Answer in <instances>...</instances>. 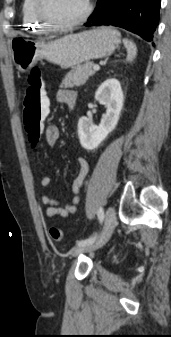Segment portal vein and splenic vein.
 <instances>
[{
    "label": "portal vein and splenic vein",
    "mask_w": 171,
    "mask_h": 337,
    "mask_svg": "<svg viewBox=\"0 0 171 337\" xmlns=\"http://www.w3.org/2000/svg\"><path fill=\"white\" fill-rule=\"evenodd\" d=\"M93 69H94L95 71H98V70L100 69V67H99L98 65H94V66H93Z\"/></svg>",
    "instance_id": "1"
}]
</instances>
